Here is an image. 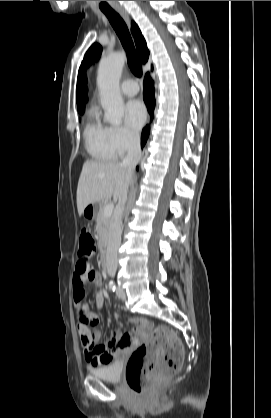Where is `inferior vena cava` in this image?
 I'll return each instance as SVG.
<instances>
[{
  "label": "inferior vena cava",
  "instance_id": "inferior-vena-cava-1",
  "mask_svg": "<svg viewBox=\"0 0 271 418\" xmlns=\"http://www.w3.org/2000/svg\"><path fill=\"white\" fill-rule=\"evenodd\" d=\"M141 158L140 135L134 133L130 136L127 155L122 161V165L127 168L128 174L132 176L137 163ZM128 189V188H127ZM127 189L119 196L118 203L115 208L114 216L110 225L109 238L107 243V272L108 275L114 277L118 265V249L121 244V224L122 216L127 200Z\"/></svg>",
  "mask_w": 271,
  "mask_h": 418
}]
</instances>
